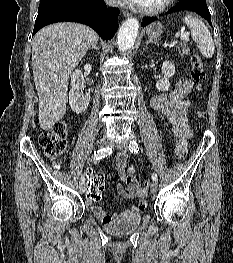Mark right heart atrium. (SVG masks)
<instances>
[{
    "mask_svg": "<svg viewBox=\"0 0 233 263\" xmlns=\"http://www.w3.org/2000/svg\"><path fill=\"white\" fill-rule=\"evenodd\" d=\"M108 4L118 6L121 4V0H106Z\"/></svg>",
    "mask_w": 233,
    "mask_h": 263,
    "instance_id": "right-heart-atrium-1",
    "label": "right heart atrium"
}]
</instances>
